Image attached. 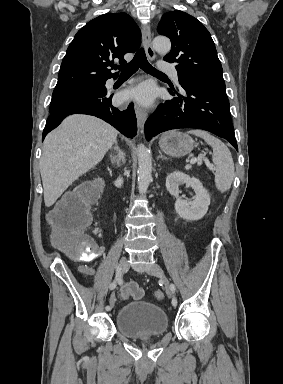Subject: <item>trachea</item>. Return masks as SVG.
<instances>
[{"instance_id": "trachea-1", "label": "trachea", "mask_w": 283, "mask_h": 384, "mask_svg": "<svg viewBox=\"0 0 283 384\" xmlns=\"http://www.w3.org/2000/svg\"><path fill=\"white\" fill-rule=\"evenodd\" d=\"M115 68L119 69L121 74H133L138 70V68H141L144 70V72L149 73L150 75L165 76V73L160 72L156 68L152 67V65H150L143 48L138 50L131 62L126 63V65L117 66Z\"/></svg>"}]
</instances>
